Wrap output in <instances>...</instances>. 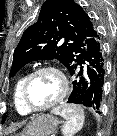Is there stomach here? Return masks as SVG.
<instances>
[{"label":"stomach","mask_w":117,"mask_h":136,"mask_svg":"<svg viewBox=\"0 0 117 136\" xmlns=\"http://www.w3.org/2000/svg\"><path fill=\"white\" fill-rule=\"evenodd\" d=\"M59 121L50 114H42L28 123L19 136H49L57 128Z\"/></svg>","instance_id":"obj_1"}]
</instances>
